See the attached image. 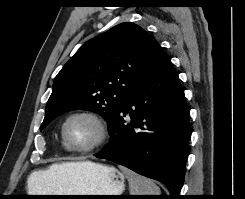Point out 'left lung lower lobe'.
I'll use <instances>...</instances> for the list:
<instances>
[{
	"label": "left lung lower lobe",
	"mask_w": 245,
	"mask_h": 199,
	"mask_svg": "<svg viewBox=\"0 0 245 199\" xmlns=\"http://www.w3.org/2000/svg\"><path fill=\"white\" fill-rule=\"evenodd\" d=\"M189 118L178 74L163 52L153 71L122 102L108 124L110 143L95 156L164 183L170 199H179L192 132Z\"/></svg>",
	"instance_id": "obj_1"
}]
</instances>
